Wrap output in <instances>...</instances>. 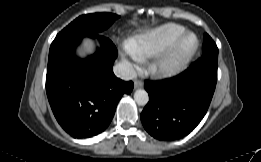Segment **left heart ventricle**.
Masks as SVG:
<instances>
[{"instance_id":"obj_1","label":"left heart ventricle","mask_w":261,"mask_h":162,"mask_svg":"<svg viewBox=\"0 0 261 162\" xmlns=\"http://www.w3.org/2000/svg\"><path fill=\"white\" fill-rule=\"evenodd\" d=\"M193 41H194V38H193V37H188V38L185 40V42H184V44H183V46H182V50L188 49V48L193 44Z\"/></svg>"}]
</instances>
